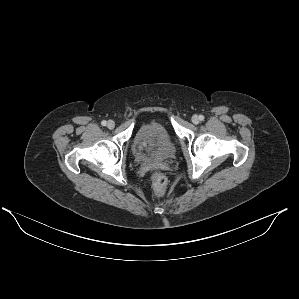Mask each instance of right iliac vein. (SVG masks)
<instances>
[{"label": "right iliac vein", "instance_id": "1", "mask_svg": "<svg viewBox=\"0 0 299 299\" xmlns=\"http://www.w3.org/2000/svg\"><path fill=\"white\" fill-rule=\"evenodd\" d=\"M107 127H108L109 129H113V128L115 127V123H114V121L109 120V121L107 122Z\"/></svg>", "mask_w": 299, "mask_h": 299}]
</instances>
